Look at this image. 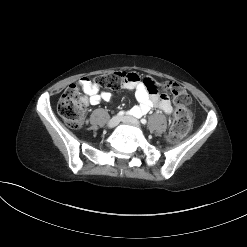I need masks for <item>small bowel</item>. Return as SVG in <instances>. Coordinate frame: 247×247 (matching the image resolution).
<instances>
[{"label": "small bowel", "mask_w": 247, "mask_h": 247, "mask_svg": "<svg viewBox=\"0 0 247 247\" xmlns=\"http://www.w3.org/2000/svg\"><path fill=\"white\" fill-rule=\"evenodd\" d=\"M129 76L122 87L126 90L134 91L138 105L132 107V115L140 117L147 114L152 108L156 107L166 114L172 113V105L169 96L166 93H158L156 83L152 79L142 80L136 73L129 72ZM83 92L88 97L92 105H97L101 101H110L113 95L108 91H100L88 78H82L79 81Z\"/></svg>", "instance_id": "1"}]
</instances>
